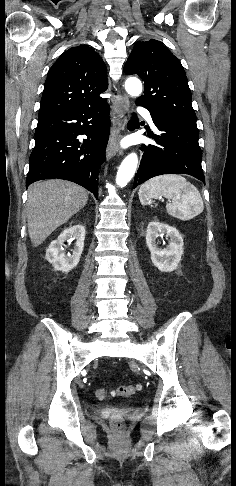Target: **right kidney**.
Returning <instances> with one entry per match:
<instances>
[{"instance_id": "1", "label": "right kidney", "mask_w": 236, "mask_h": 486, "mask_svg": "<svg viewBox=\"0 0 236 486\" xmlns=\"http://www.w3.org/2000/svg\"><path fill=\"white\" fill-rule=\"evenodd\" d=\"M85 239L84 226L77 224L64 229L58 238L51 242L46 250V260L51 263L55 271L69 272L75 268L80 260ZM76 240L72 253H65V242Z\"/></svg>"}]
</instances>
